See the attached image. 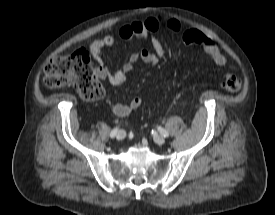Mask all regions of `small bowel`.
<instances>
[{
  "label": "small bowel",
  "instance_id": "1",
  "mask_svg": "<svg viewBox=\"0 0 275 215\" xmlns=\"http://www.w3.org/2000/svg\"><path fill=\"white\" fill-rule=\"evenodd\" d=\"M163 23L166 29L171 33L176 34L181 31L180 22L170 16L151 17L144 21H134L132 23L122 25L119 29V36L121 39L125 41H131L133 39L149 40L152 48L143 49L139 52L132 53L129 57V61L120 69L114 71H109L107 69L103 57V49L106 47H111L115 44L116 40L114 36L111 34H106L95 40L90 46L92 56L97 63L95 75L99 79H107L113 86H120L125 82L137 62L141 61L146 64H155L159 58L165 55V49L157 36L160 26ZM182 41L186 45L201 46L204 52L218 66L226 65V56L209 37L205 36L200 31L194 29L184 31L182 34ZM141 104L142 99L140 97H135L129 104H114L112 111L116 116L124 117L128 115L131 110L139 108Z\"/></svg>",
  "mask_w": 275,
  "mask_h": 215
}]
</instances>
